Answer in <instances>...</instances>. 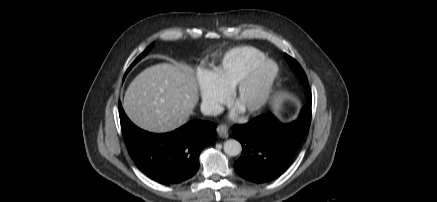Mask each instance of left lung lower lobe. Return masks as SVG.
Returning a JSON list of instances; mask_svg holds the SVG:
<instances>
[{"mask_svg":"<svg viewBox=\"0 0 437 202\" xmlns=\"http://www.w3.org/2000/svg\"><path fill=\"white\" fill-rule=\"evenodd\" d=\"M311 123L307 104L297 120L281 123L272 113L258 116L247 124L234 125L232 136L242 145V155L234 163L242 178L264 183L283 174L306 136Z\"/></svg>","mask_w":437,"mask_h":202,"instance_id":"left-lung-lower-lobe-1","label":"left lung lower lobe"}]
</instances>
